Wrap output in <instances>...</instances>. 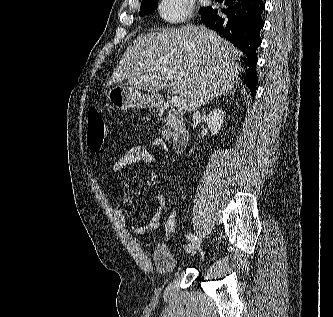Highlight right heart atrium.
Masks as SVG:
<instances>
[{
	"label": "right heart atrium",
	"instance_id": "d8ad5b80",
	"mask_svg": "<svg viewBox=\"0 0 333 317\" xmlns=\"http://www.w3.org/2000/svg\"><path fill=\"white\" fill-rule=\"evenodd\" d=\"M193 13V0H158L157 14L164 22L179 25Z\"/></svg>",
	"mask_w": 333,
	"mask_h": 317
}]
</instances>
